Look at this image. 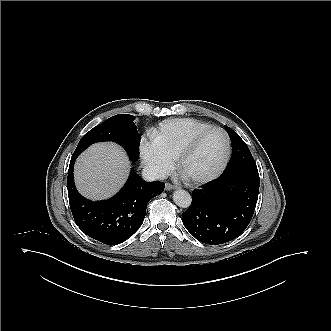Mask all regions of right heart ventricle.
<instances>
[{
	"mask_svg": "<svg viewBox=\"0 0 331 331\" xmlns=\"http://www.w3.org/2000/svg\"><path fill=\"white\" fill-rule=\"evenodd\" d=\"M209 127V123L193 118L165 120L154 133L152 143L172 156H177L192 136Z\"/></svg>",
	"mask_w": 331,
	"mask_h": 331,
	"instance_id": "1",
	"label": "right heart ventricle"
}]
</instances>
